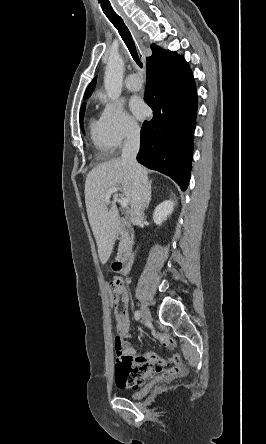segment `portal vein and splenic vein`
<instances>
[{
    "instance_id": "obj_1",
    "label": "portal vein and splenic vein",
    "mask_w": 266,
    "mask_h": 444,
    "mask_svg": "<svg viewBox=\"0 0 266 444\" xmlns=\"http://www.w3.org/2000/svg\"><path fill=\"white\" fill-rule=\"evenodd\" d=\"M119 191L118 187H113L111 189H109L106 193V197H105V202H109L110 201V197L113 193H116ZM129 203V200L127 198H122L120 199V204L123 208L127 207Z\"/></svg>"
}]
</instances>
